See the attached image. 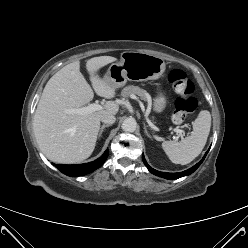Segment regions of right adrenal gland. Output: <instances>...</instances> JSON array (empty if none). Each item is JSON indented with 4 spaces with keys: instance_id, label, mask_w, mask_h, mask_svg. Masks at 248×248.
<instances>
[{
    "instance_id": "right-adrenal-gland-1",
    "label": "right adrenal gland",
    "mask_w": 248,
    "mask_h": 248,
    "mask_svg": "<svg viewBox=\"0 0 248 248\" xmlns=\"http://www.w3.org/2000/svg\"><path fill=\"white\" fill-rule=\"evenodd\" d=\"M109 126H111V124H104V125H102V126L100 127L98 136L100 137V136L102 135L104 129H105L106 127H109Z\"/></svg>"
}]
</instances>
